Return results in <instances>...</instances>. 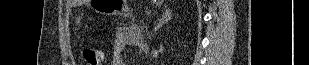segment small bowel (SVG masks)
Instances as JSON below:
<instances>
[{"label":"small bowel","mask_w":309,"mask_h":65,"mask_svg":"<svg viewBox=\"0 0 309 65\" xmlns=\"http://www.w3.org/2000/svg\"><path fill=\"white\" fill-rule=\"evenodd\" d=\"M141 47V29L138 26L120 28L115 35L110 65H125L122 53L126 47Z\"/></svg>","instance_id":"c3829d8e"}]
</instances>
